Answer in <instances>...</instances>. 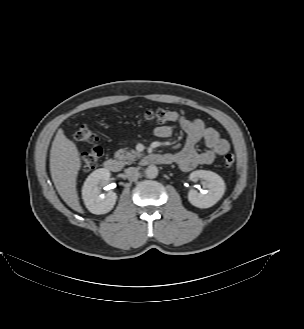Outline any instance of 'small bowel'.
Instances as JSON below:
<instances>
[{
  "label": "small bowel",
  "mask_w": 304,
  "mask_h": 329,
  "mask_svg": "<svg viewBox=\"0 0 304 329\" xmlns=\"http://www.w3.org/2000/svg\"><path fill=\"white\" fill-rule=\"evenodd\" d=\"M179 125L186 133L187 138L181 150L170 154L173 162L182 171L188 172L200 165L211 164L219 156L225 155L230 150L229 142L222 138L219 132L206 124L201 119H188L182 117ZM159 138H169L173 134L170 124L159 125L154 130ZM203 141L207 149L199 152L196 146Z\"/></svg>",
  "instance_id": "1"
}]
</instances>
